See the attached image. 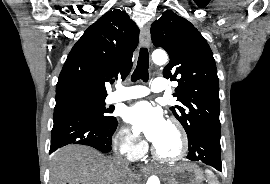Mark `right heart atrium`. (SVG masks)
I'll return each instance as SVG.
<instances>
[{
    "label": "right heart atrium",
    "instance_id": "d8ad5b80",
    "mask_svg": "<svg viewBox=\"0 0 270 184\" xmlns=\"http://www.w3.org/2000/svg\"><path fill=\"white\" fill-rule=\"evenodd\" d=\"M116 145L120 152L129 159H136L145 152L146 145L130 129L122 127L115 138Z\"/></svg>",
    "mask_w": 270,
    "mask_h": 184
}]
</instances>
